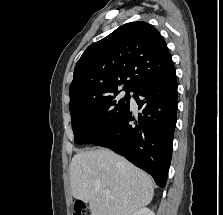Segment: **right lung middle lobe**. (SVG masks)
Instances as JSON below:
<instances>
[{
	"label": "right lung middle lobe",
	"instance_id": "right-lung-middle-lobe-1",
	"mask_svg": "<svg viewBox=\"0 0 223 215\" xmlns=\"http://www.w3.org/2000/svg\"><path fill=\"white\" fill-rule=\"evenodd\" d=\"M115 91L105 97L71 108L72 130L77 144H89L107 134L130 105L128 93L117 99Z\"/></svg>",
	"mask_w": 223,
	"mask_h": 215
}]
</instances>
